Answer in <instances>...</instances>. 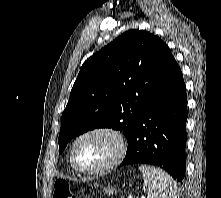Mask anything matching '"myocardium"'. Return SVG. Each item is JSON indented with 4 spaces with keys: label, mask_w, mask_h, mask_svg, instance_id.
<instances>
[{
    "label": "myocardium",
    "mask_w": 221,
    "mask_h": 198,
    "mask_svg": "<svg viewBox=\"0 0 221 198\" xmlns=\"http://www.w3.org/2000/svg\"><path fill=\"white\" fill-rule=\"evenodd\" d=\"M93 135H106L113 139L116 145V149L112 157L102 166L94 169H86L80 167L75 161V149L77 144L84 138L93 136ZM127 151V142L123 134L112 127L108 126H98L93 127L84 132L80 133L73 141L70 148V163L72 167L79 173L84 175H99L103 174L114 167H116L124 158Z\"/></svg>",
    "instance_id": "obj_1"
}]
</instances>
